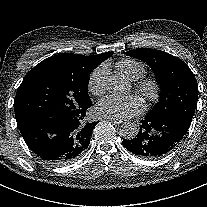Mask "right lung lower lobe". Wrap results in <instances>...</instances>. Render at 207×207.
<instances>
[{"instance_id": "right-lung-lower-lobe-1", "label": "right lung lower lobe", "mask_w": 207, "mask_h": 207, "mask_svg": "<svg viewBox=\"0 0 207 207\" xmlns=\"http://www.w3.org/2000/svg\"><path fill=\"white\" fill-rule=\"evenodd\" d=\"M86 111L77 117L36 116L17 123L28 147L41 159L68 164L80 157L89 145L97 122H88Z\"/></svg>"}]
</instances>
